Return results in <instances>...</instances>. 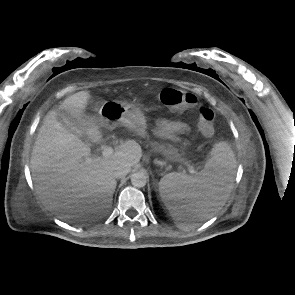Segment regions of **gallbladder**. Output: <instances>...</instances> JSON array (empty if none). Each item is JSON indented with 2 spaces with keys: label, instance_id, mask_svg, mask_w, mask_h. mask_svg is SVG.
I'll list each match as a JSON object with an SVG mask.
<instances>
[{
  "label": "gallbladder",
  "instance_id": "1",
  "mask_svg": "<svg viewBox=\"0 0 295 295\" xmlns=\"http://www.w3.org/2000/svg\"><path fill=\"white\" fill-rule=\"evenodd\" d=\"M57 120L69 132L74 133L76 135L79 134V131L75 126V120L72 118V116L67 111L58 109L57 110Z\"/></svg>",
  "mask_w": 295,
  "mask_h": 295
}]
</instances>
